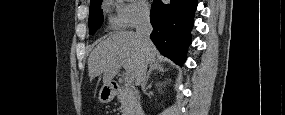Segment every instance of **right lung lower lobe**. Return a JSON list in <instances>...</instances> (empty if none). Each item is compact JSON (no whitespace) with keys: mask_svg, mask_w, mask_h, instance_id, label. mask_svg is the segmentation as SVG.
Here are the masks:
<instances>
[{"mask_svg":"<svg viewBox=\"0 0 285 115\" xmlns=\"http://www.w3.org/2000/svg\"><path fill=\"white\" fill-rule=\"evenodd\" d=\"M196 8V0H171L169 4L153 0L151 40L161 54L178 65H183L186 60Z\"/></svg>","mask_w":285,"mask_h":115,"instance_id":"right-lung-lower-lobe-1","label":"right lung lower lobe"}]
</instances>
